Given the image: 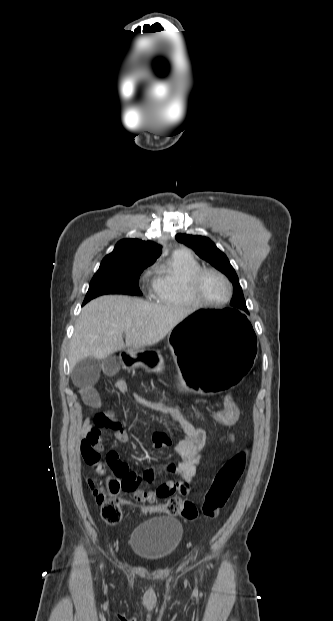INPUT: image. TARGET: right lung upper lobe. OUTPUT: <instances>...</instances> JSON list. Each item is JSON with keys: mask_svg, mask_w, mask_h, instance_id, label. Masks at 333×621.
I'll list each match as a JSON object with an SVG mask.
<instances>
[{"mask_svg": "<svg viewBox=\"0 0 333 621\" xmlns=\"http://www.w3.org/2000/svg\"><path fill=\"white\" fill-rule=\"evenodd\" d=\"M161 246L152 241L123 239L101 263H143L152 265L161 254Z\"/></svg>", "mask_w": 333, "mask_h": 621, "instance_id": "obj_1", "label": "right lung upper lobe"}]
</instances>
